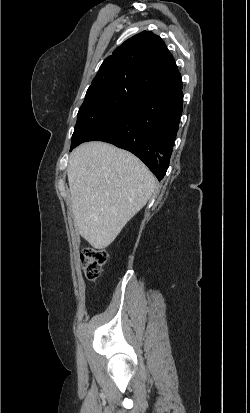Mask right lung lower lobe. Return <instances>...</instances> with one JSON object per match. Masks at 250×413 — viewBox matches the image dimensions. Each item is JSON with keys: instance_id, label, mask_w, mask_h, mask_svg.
I'll list each match as a JSON object with an SVG mask.
<instances>
[{"instance_id": "1", "label": "right lung lower lobe", "mask_w": 250, "mask_h": 413, "mask_svg": "<svg viewBox=\"0 0 250 413\" xmlns=\"http://www.w3.org/2000/svg\"><path fill=\"white\" fill-rule=\"evenodd\" d=\"M182 85L138 96L86 141H104L135 154L163 179L182 114ZM85 141V142H86Z\"/></svg>"}]
</instances>
